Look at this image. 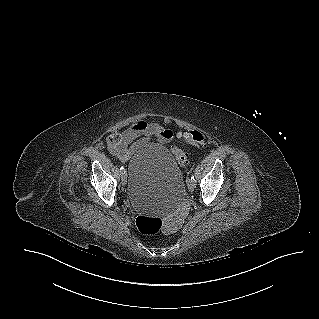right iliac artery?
<instances>
[{
	"label": "right iliac artery",
	"instance_id": "right-iliac-artery-1",
	"mask_svg": "<svg viewBox=\"0 0 319 319\" xmlns=\"http://www.w3.org/2000/svg\"><path fill=\"white\" fill-rule=\"evenodd\" d=\"M120 172H121V174L125 173V169L123 166L120 167Z\"/></svg>",
	"mask_w": 319,
	"mask_h": 319
}]
</instances>
